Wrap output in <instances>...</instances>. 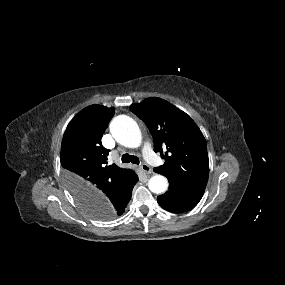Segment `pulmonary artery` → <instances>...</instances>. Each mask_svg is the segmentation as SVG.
<instances>
[{
  "label": "pulmonary artery",
  "mask_w": 285,
  "mask_h": 285,
  "mask_svg": "<svg viewBox=\"0 0 285 285\" xmlns=\"http://www.w3.org/2000/svg\"><path fill=\"white\" fill-rule=\"evenodd\" d=\"M142 152L145 160L149 162L153 166H157L159 164V158L157 154L153 151L151 144L146 141L142 146Z\"/></svg>",
  "instance_id": "pulmonary-artery-1"
}]
</instances>
